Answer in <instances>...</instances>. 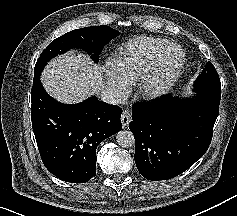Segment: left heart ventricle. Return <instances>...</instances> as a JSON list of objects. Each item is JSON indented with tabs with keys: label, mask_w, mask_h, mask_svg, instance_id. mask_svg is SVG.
Listing matches in <instances>:
<instances>
[{
	"label": "left heart ventricle",
	"mask_w": 237,
	"mask_h": 216,
	"mask_svg": "<svg viewBox=\"0 0 237 216\" xmlns=\"http://www.w3.org/2000/svg\"><path fill=\"white\" fill-rule=\"evenodd\" d=\"M180 62L179 53L176 49L172 48L166 52L161 61L157 72L164 71L165 79H169L175 75ZM157 72L155 73V78H157Z\"/></svg>",
	"instance_id": "left-heart-ventricle-1"
}]
</instances>
